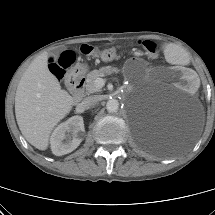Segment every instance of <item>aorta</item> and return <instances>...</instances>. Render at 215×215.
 Returning a JSON list of instances; mask_svg holds the SVG:
<instances>
[{
    "instance_id": "obj_1",
    "label": "aorta",
    "mask_w": 215,
    "mask_h": 215,
    "mask_svg": "<svg viewBox=\"0 0 215 215\" xmlns=\"http://www.w3.org/2000/svg\"><path fill=\"white\" fill-rule=\"evenodd\" d=\"M107 111L110 113L117 112L119 109V102L115 99H111L106 104Z\"/></svg>"
}]
</instances>
